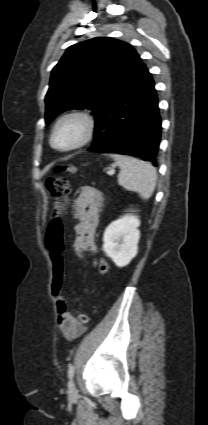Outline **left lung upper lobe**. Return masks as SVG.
Instances as JSON below:
<instances>
[{
	"label": "left lung upper lobe",
	"instance_id": "obj_1",
	"mask_svg": "<svg viewBox=\"0 0 208 425\" xmlns=\"http://www.w3.org/2000/svg\"><path fill=\"white\" fill-rule=\"evenodd\" d=\"M142 66L135 49L117 39L97 37L70 46L51 73L46 123L69 109H90L97 119Z\"/></svg>",
	"mask_w": 208,
	"mask_h": 425
}]
</instances>
